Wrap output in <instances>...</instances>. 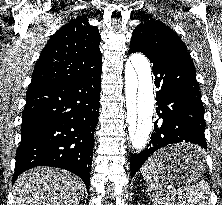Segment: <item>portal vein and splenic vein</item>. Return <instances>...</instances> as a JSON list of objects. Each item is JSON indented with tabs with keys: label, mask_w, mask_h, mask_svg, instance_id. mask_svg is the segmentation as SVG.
I'll list each match as a JSON object with an SVG mask.
<instances>
[{
	"label": "portal vein and splenic vein",
	"mask_w": 222,
	"mask_h": 205,
	"mask_svg": "<svg viewBox=\"0 0 222 205\" xmlns=\"http://www.w3.org/2000/svg\"><path fill=\"white\" fill-rule=\"evenodd\" d=\"M172 193H174V194H175L174 190H172Z\"/></svg>",
	"instance_id": "18ae733b"
}]
</instances>
